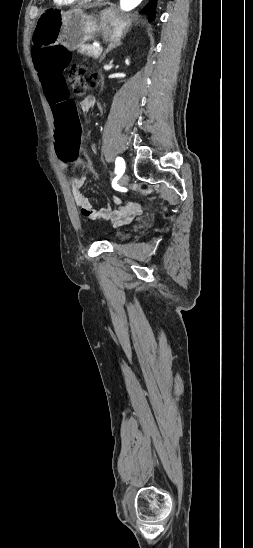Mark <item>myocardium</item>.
I'll list each match as a JSON object with an SVG mask.
<instances>
[{"label": "myocardium", "mask_w": 253, "mask_h": 548, "mask_svg": "<svg viewBox=\"0 0 253 548\" xmlns=\"http://www.w3.org/2000/svg\"><path fill=\"white\" fill-rule=\"evenodd\" d=\"M77 1H79V0H77ZM84 1H92V0H84ZM94 1H101V0H94Z\"/></svg>", "instance_id": "1"}]
</instances>
